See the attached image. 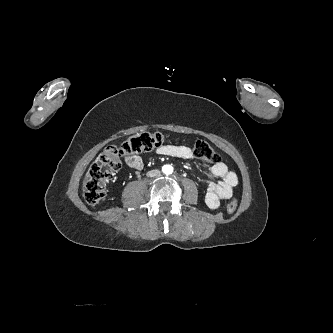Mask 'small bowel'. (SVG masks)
Masks as SVG:
<instances>
[{
    "instance_id": "small-bowel-1",
    "label": "small bowel",
    "mask_w": 333,
    "mask_h": 333,
    "mask_svg": "<svg viewBox=\"0 0 333 333\" xmlns=\"http://www.w3.org/2000/svg\"><path fill=\"white\" fill-rule=\"evenodd\" d=\"M156 152L163 156L182 159L193 158L192 150L184 145H163ZM126 164L134 170H141L143 168V160L138 155L127 157ZM210 171L217 180L208 184L205 203L210 209H217L221 204V200L232 196L233 188L238 184V176L234 171L229 170L222 161L214 163Z\"/></svg>"
}]
</instances>
